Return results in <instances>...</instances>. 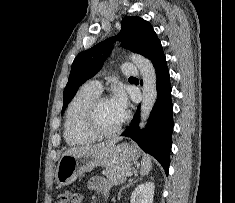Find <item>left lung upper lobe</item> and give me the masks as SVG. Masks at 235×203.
I'll return each mask as SVG.
<instances>
[{
	"mask_svg": "<svg viewBox=\"0 0 235 203\" xmlns=\"http://www.w3.org/2000/svg\"><path fill=\"white\" fill-rule=\"evenodd\" d=\"M115 40H120L123 47L146 57L153 45L159 41L149 22L140 17L125 16L121 21V31L117 36L108 38L91 49L79 53L74 59L63 93L62 113L78 88L101 69L110 55Z\"/></svg>",
	"mask_w": 235,
	"mask_h": 203,
	"instance_id": "obj_1",
	"label": "left lung upper lobe"
}]
</instances>
